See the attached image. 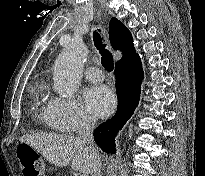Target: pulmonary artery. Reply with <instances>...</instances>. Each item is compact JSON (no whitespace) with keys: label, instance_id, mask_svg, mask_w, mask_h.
<instances>
[{"label":"pulmonary artery","instance_id":"1","mask_svg":"<svg viewBox=\"0 0 205 176\" xmlns=\"http://www.w3.org/2000/svg\"><path fill=\"white\" fill-rule=\"evenodd\" d=\"M84 76L91 82H101L104 79L103 71L96 66L86 68L84 71Z\"/></svg>","mask_w":205,"mask_h":176}]
</instances>
